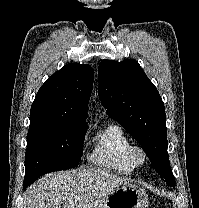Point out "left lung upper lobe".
<instances>
[{"label": "left lung upper lobe", "instance_id": "5c2ea615", "mask_svg": "<svg viewBox=\"0 0 199 208\" xmlns=\"http://www.w3.org/2000/svg\"><path fill=\"white\" fill-rule=\"evenodd\" d=\"M98 77V95L106 113L138 141L166 183L175 185L167 153L165 108L156 87L135 60H102Z\"/></svg>", "mask_w": 199, "mask_h": 208}]
</instances>
